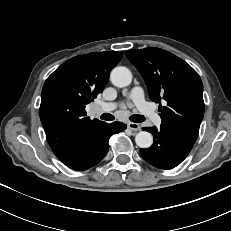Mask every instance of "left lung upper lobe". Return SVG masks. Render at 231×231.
I'll return each mask as SVG.
<instances>
[{
  "mask_svg": "<svg viewBox=\"0 0 231 231\" xmlns=\"http://www.w3.org/2000/svg\"><path fill=\"white\" fill-rule=\"evenodd\" d=\"M125 55L143 76L150 99L159 106L162 124L196 141L204 115L203 84L184 60L159 48L127 50Z\"/></svg>",
  "mask_w": 231,
  "mask_h": 231,
  "instance_id": "1",
  "label": "left lung upper lobe"
}]
</instances>
